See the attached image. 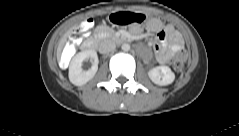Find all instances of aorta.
Wrapping results in <instances>:
<instances>
[{"instance_id":"aorta-1","label":"aorta","mask_w":239,"mask_h":136,"mask_svg":"<svg viewBox=\"0 0 239 136\" xmlns=\"http://www.w3.org/2000/svg\"><path fill=\"white\" fill-rule=\"evenodd\" d=\"M123 51H129L130 50V45L128 43H124L121 46Z\"/></svg>"}]
</instances>
